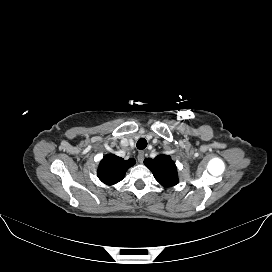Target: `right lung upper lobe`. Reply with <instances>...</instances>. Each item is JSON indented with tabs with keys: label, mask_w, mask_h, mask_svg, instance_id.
<instances>
[{
	"label": "right lung upper lobe",
	"mask_w": 272,
	"mask_h": 272,
	"mask_svg": "<svg viewBox=\"0 0 272 272\" xmlns=\"http://www.w3.org/2000/svg\"><path fill=\"white\" fill-rule=\"evenodd\" d=\"M134 164L135 160L132 158L124 160L114 154H108L100 162L97 174L103 183L113 185L121 181L126 171Z\"/></svg>",
	"instance_id": "1"
}]
</instances>
